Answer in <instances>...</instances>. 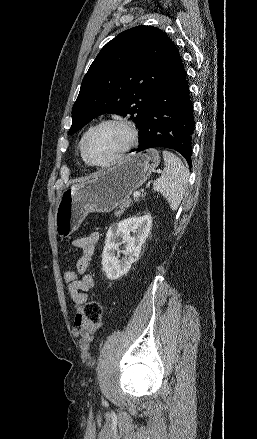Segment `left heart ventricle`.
<instances>
[{"instance_id": "left-heart-ventricle-1", "label": "left heart ventricle", "mask_w": 257, "mask_h": 439, "mask_svg": "<svg viewBox=\"0 0 257 439\" xmlns=\"http://www.w3.org/2000/svg\"><path fill=\"white\" fill-rule=\"evenodd\" d=\"M128 143V134L120 126L107 125L92 136L88 155L95 162H106L119 153Z\"/></svg>"}]
</instances>
